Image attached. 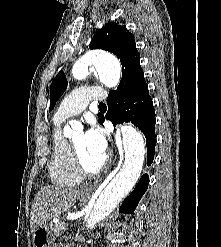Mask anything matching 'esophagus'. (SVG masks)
<instances>
[{
  "label": "esophagus",
  "mask_w": 221,
  "mask_h": 247,
  "mask_svg": "<svg viewBox=\"0 0 221 247\" xmlns=\"http://www.w3.org/2000/svg\"><path fill=\"white\" fill-rule=\"evenodd\" d=\"M97 185H98V181H95L93 184L86 185L84 188H82L81 192L82 193L91 192L93 188Z\"/></svg>",
  "instance_id": "34e87169"
}]
</instances>
